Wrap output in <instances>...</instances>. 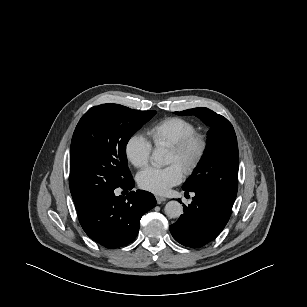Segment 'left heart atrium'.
Wrapping results in <instances>:
<instances>
[{"instance_id":"left-heart-atrium-1","label":"left heart atrium","mask_w":307,"mask_h":307,"mask_svg":"<svg viewBox=\"0 0 307 307\" xmlns=\"http://www.w3.org/2000/svg\"><path fill=\"white\" fill-rule=\"evenodd\" d=\"M183 178V169L177 164L165 168L148 167L137 176L139 186L155 194H164L179 184Z\"/></svg>"}]
</instances>
